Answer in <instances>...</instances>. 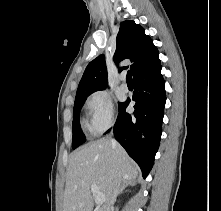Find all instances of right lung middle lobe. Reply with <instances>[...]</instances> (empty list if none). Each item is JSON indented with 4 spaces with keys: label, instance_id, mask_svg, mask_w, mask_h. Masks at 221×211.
I'll use <instances>...</instances> for the list:
<instances>
[{
    "label": "right lung middle lobe",
    "instance_id": "obj_1",
    "mask_svg": "<svg viewBox=\"0 0 221 211\" xmlns=\"http://www.w3.org/2000/svg\"><path fill=\"white\" fill-rule=\"evenodd\" d=\"M89 95H85L79 98H75L74 110H73V138H72V148L75 149L86 141L85 136L81 130L79 122V114L84 101ZM121 103H119L120 105Z\"/></svg>",
    "mask_w": 221,
    "mask_h": 211
}]
</instances>
